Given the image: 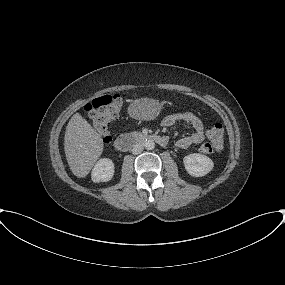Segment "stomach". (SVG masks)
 Wrapping results in <instances>:
<instances>
[{"label": "stomach", "mask_w": 285, "mask_h": 285, "mask_svg": "<svg viewBox=\"0 0 285 285\" xmlns=\"http://www.w3.org/2000/svg\"><path fill=\"white\" fill-rule=\"evenodd\" d=\"M162 103L153 98H141L133 101L129 108V114L136 119L151 120L159 115Z\"/></svg>", "instance_id": "stomach-1"}]
</instances>
